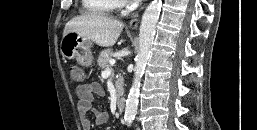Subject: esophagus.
Returning a JSON list of instances; mask_svg holds the SVG:
<instances>
[{
    "label": "esophagus",
    "instance_id": "1",
    "mask_svg": "<svg viewBox=\"0 0 257 130\" xmlns=\"http://www.w3.org/2000/svg\"><path fill=\"white\" fill-rule=\"evenodd\" d=\"M138 21H139V17L138 14L134 15L133 18L131 19L129 25L131 28H136L138 26Z\"/></svg>",
    "mask_w": 257,
    "mask_h": 130
}]
</instances>
